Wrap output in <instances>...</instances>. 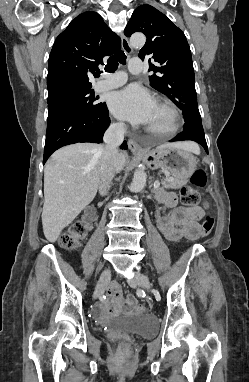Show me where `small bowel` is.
Here are the masks:
<instances>
[{
	"mask_svg": "<svg viewBox=\"0 0 249 382\" xmlns=\"http://www.w3.org/2000/svg\"><path fill=\"white\" fill-rule=\"evenodd\" d=\"M160 201L172 209L169 215L158 217L157 225L163 235L172 241L182 239L196 240L201 235L200 220L203 216V210L198 206H178L175 195L165 193L160 196ZM109 297L98 305L100 314L116 313L121 308L125 312H131L135 306L136 300L129 296L123 304L121 287L117 282H113L108 288Z\"/></svg>",
	"mask_w": 249,
	"mask_h": 382,
	"instance_id": "1",
	"label": "small bowel"
}]
</instances>
